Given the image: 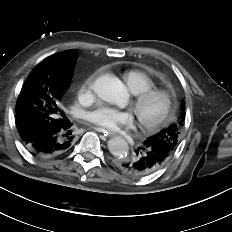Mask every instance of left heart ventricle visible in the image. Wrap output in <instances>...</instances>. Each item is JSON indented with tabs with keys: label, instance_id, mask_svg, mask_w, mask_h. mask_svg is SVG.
<instances>
[{
	"label": "left heart ventricle",
	"instance_id": "b2bd125f",
	"mask_svg": "<svg viewBox=\"0 0 232 232\" xmlns=\"http://www.w3.org/2000/svg\"><path fill=\"white\" fill-rule=\"evenodd\" d=\"M162 109V99L155 97L146 102L139 110V115L144 119L155 117Z\"/></svg>",
	"mask_w": 232,
	"mask_h": 232
}]
</instances>
